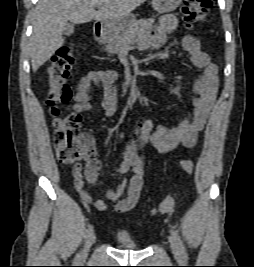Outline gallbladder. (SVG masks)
Segmentation results:
<instances>
[{
  "mask_svg": "<svg viewBox=\"0 0 254 267\" xmlns=\"http://www.w3.org/2000/svg\"><path fill=\"white\" fill-rule=\"evenodd\" d=\"M74 29H75L74 24L69 23V24H67V25L65 26V28H64V30H63V33H64V35H67V36H68V35H71V34H73Z\"/></svg>",
  "mask_w": 254,
  "mask_h": 267,
  "instance_id": "1",
  "label": "gallbladder"
}]
</instances>
